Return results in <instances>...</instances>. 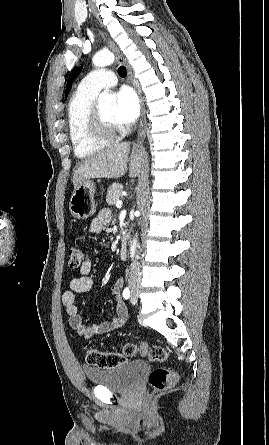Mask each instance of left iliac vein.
<instances>
[{"mask_svg":"<svg viewBox=\"0 0 269 445\" xmlns=\"http://www.w3.org/2000/svg\"><path fill=\"white\" fill-rule=\"evenodd\" d=\"M137 294L136 293H132V295H131V298H130V302L132 303V304H136L137 303Z\"/></svg>","mask_w":269,"mask_h":445,"instance_id":"left-iliac-vein-1","label":"left iliac vein"}]
</instances>
